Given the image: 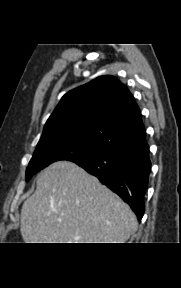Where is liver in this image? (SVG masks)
Listing matches in <instances>:
<instances>
[{"mask_svg":"<svg viewBox=\"0 0 181 288\" xmlns=\"http://www.w3.org/2000/svg\"><path fill=\"white\" fill-rule=\"evenodd\" d=\"M136 230L130 207L69 161L54 162L38 175L21 210L25 243H125Z\"/></svg>","mask_w":181,"mask_h":288,"instance_id":"6515ba94","label":"liver"}]
</instances>
